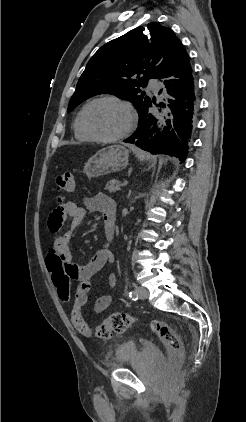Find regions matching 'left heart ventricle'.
<instances>
[{"label": "left heart ventricle", "instance_id": "left-heart-ventricle-1", "mask_svg": "<svg viewBox=\"0 0 246 422\" xmlns=\"http://www.w3.org/2000/svg\"><path fill=\"white\" fill-rule=\"evenodd\" d=\"M87 120L94 133L103 137H112L126 128L128 114L120 104L102 101L90 107Z\"/></svg>", "mask_w": 246, "mask_h": 422}]
</instances>
